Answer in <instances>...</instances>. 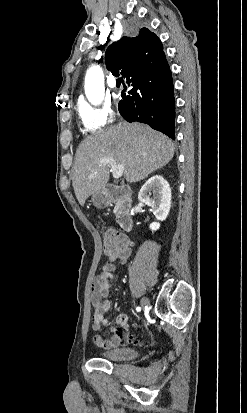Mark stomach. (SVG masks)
Masks as SVG:
<instances>
[{
	"mask_svg": "<svg viewBox=\"0 0 247 413\" xmlns=\"http://www.w3.org/2000/svg\"><path fill=\"white\" fill-rule=\"evenodd\" d=\"M92 200L93 204H95V207H98V209L107 207V204H110V196L105 188L100 190V192H94V194H92Z\"/></svg>",
	"mask_w": 247,
	"mask_h": 413,
	"instance_id": "stomach-1",
	"label": "stomach"
}]
</instances>
